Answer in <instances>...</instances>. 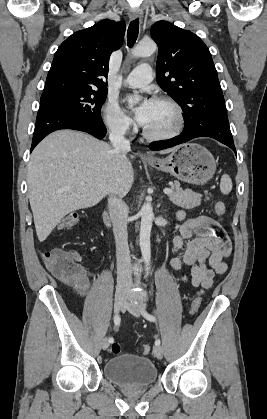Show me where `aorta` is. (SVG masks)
Segmentation results:
<instances>
[{"instance_id":"762f6f07","label":"aorta","mask_w":267,"mask_h":419,"mask_svg":"<svg viewBox=\"0 0 267 419\" xmlns=\"http://www.w3.org/2000/svg\"><path fill=\"white\" fill-rule=\"evenodd\" d=\"M157 50V46L153 41L141 42L133 50V57H146L150 56ZM129 106L133 107L134 101L130 100ZM141 226L139 233V245L142 253V258L146 264V270H149L150 259H151V247H150V234L152 229V221L154 218L153 208L151 203L146 202L143 204L141 211Z\"/></svg>"}]
</instances>
